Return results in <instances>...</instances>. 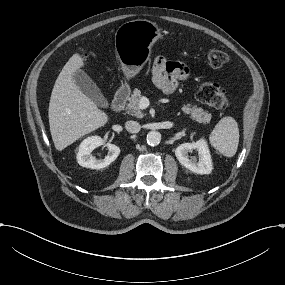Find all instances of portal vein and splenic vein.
<instances>
[{"label":"portal vein and splenic vein","mask_w":285,"mask_h":285,"mask_svg":"<svg viewBox=\"0 0 285 285\" xmlns=\"http://www.w3.org/2000/svg\"><path fill=\"white\" fill-rule=\"evenodd\" d=\"M150 105V100L146 97H142L138 103V109L140 111H143L145 109H147Z\"/></svg>","instance_id":"18ae733b"}]
</instances>
